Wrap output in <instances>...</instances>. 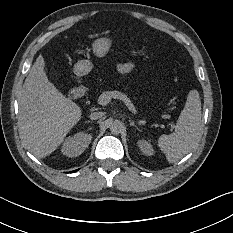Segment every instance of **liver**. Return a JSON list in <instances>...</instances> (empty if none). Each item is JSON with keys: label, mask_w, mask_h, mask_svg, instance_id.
I'll list each match as a JSON object with an SVG mask.
<instances>
[{"label": "liver", "mask_w": 233, "mask_h": 233, "mask_svg": "<svg viewBox=\"0 0 233 233\" xmlns=\"http://www.w3.org/2000/svg\"><path fill=\"white\" fill-rule=\"evenodd\" d=\"M20 134L30 152L44 157L80 118V108L49 82L38 56L24 81L19 99Z\"/></svg>", "instance_id": "1"}]
</instances>
